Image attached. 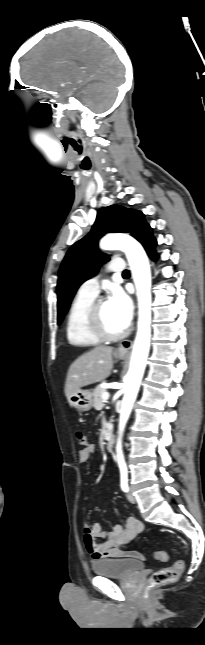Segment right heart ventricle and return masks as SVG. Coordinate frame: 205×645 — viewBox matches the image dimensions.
I'll return each mask as SVG.
<instances>
[{"label":"right heart ventricle","instance_id":"e07e8e85","mask_svg":"<svg viewBox=\"0 0 205 645\" xmlns=\"http://www.w3.org/2000/svg\"><path fill=\"white\" fill-rule=\"evenodd\" d=\"M96 296L78 292L73 298L66 319V337L71 345L91 347L102 341L88 328L87 314Z\"/></svg>","mask_w":205,"mask_h":645}]
</instances>
